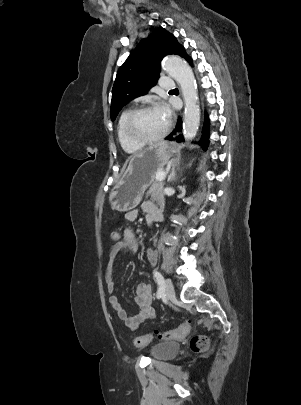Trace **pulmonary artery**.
I'll return each instance as SVG.
<instances>
[{
	"label": "pulmonary artery",
	"mask_w": 301,
	"mask_h": 405,
	"mask_svg": "<svg viewBox=\"0 0 301 405\" xmlns=\"http://www.w3.org/2000/svg\"><path fill=\"white\" fill-rule=\"evenodd\" d=\"M160 86L166 90H171L174 88V81L168 76H163L160 79Z\"/></svg>",
	"instance_id": "pulmonary-artery-1"
}]
</instances>
